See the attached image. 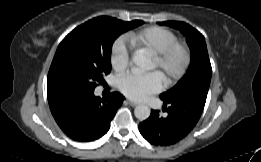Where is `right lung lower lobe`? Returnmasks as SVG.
Listing matches in <instances>:
<instances>
[{
  "instance_id": "98d812e1",
  "label": "right lung lower lobe",
  "mask_w": 261,
  "mask_h": 162,
  "mask_svg": "<svg viewBox=\"0 0 261 162\" xmlns=\"http://www.w3.org/2000/svg\"><path fill=\"white\" fill-rule=\"evenodd\" d=\"M124 97L114 92L107 99L88 93L66 92L49 101L50 110L63 132L75 141L89 142L106 134Z\"/></svg>"
}]
</instances>
